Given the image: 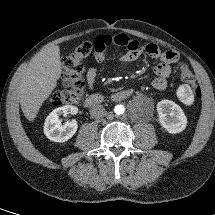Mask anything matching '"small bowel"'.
<instances>
[{
    "label": "small bowel",
    "mask_w": 215,
    "mask_h": 215,
    "mask_svg": "<svg viewBox=\"0 0 215 215\" xmlns=\"http://www.w3.org/2000/svg\"><path fill=\"white\" fill-rule=\"evenodd\" d=\"M111 46L124 47L126 52L120 57V61L124 63L134 62L145 53L151 58L158 60L155 65V77L152 80V86L157 90H165L168 86V79L171 75V64L178 63L179 56L176 52H162L156 44L140 45L135 39H132L126 34L117 35H100L94 42L93 58L94 63L91 64L85 71L87 87L89 91L94 89L95 80L98 69L96 63L104 61L106 51Z\"/></svg>",
    "instance_id": "1"
}]
</instances>
